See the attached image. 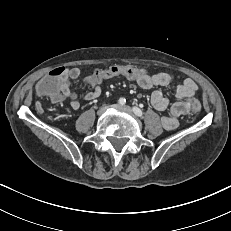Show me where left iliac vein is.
<instances>
[{"label": "left iliac vein", "mask_w": 231, "mask_h": 231, "mask_svg": "<svg viewBox=\"0 0 231 231\" xmlns=\"http://www.w3.org/2000/svg\"><path fill=\"white\" fill-rule=\"evenodd\" d=\"M115 109L122 110L128 113H132V109L129 106H122V105H113L112 106Z\"/></svg>", "instance_id": "4c4485c4"}]
</instances>
